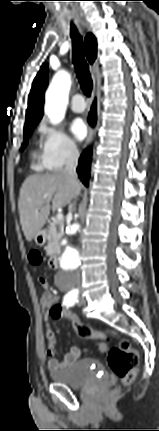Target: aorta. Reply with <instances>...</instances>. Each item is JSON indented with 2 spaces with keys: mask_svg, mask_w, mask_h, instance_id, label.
<instances>
[{
  "mask_svg": "<svg viewBox=\"0 0 159 431\" xmlns=\"http://www.w3.org/2000/svg\"><path fill=\"white\" fill-rule=\"evenodd\" d=\"M71 87V77L69 73L62 70L57 72L46 92L45 112L51 122L59 123L65 115L68 103V93ZM81 225L75 222L66 228L62 241L64 250L60 257V265L64 271L72 272L77 270L81 264V256L78 249L70 244L71 239L80 232Z\"/></svg>",
  "mask_w": 159,
  "mask_h": 431,
  "instance_id": "aorta-1",
  "label": "aorta"
}]
</instances>
